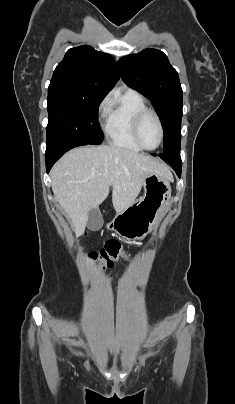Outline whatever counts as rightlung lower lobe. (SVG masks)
<instances>
[{
  "mask_svg": "<svg viewBox=\"0 0 235 404\" xmlns=\"http://www.w3.org/2000/svg\"><path fill=\"white\" fill-rule=\"evenodd\" d=\"M82 145H87V143L73 138H64L47 143L45 153L47 173H49L54 163L67 151Z\"/></svg>",
  "mask_w": 235,
  "mask_h": 404,
  "instance_id": "obj_1",
  "label": "right lung lower lobe"
}]
</instances>
